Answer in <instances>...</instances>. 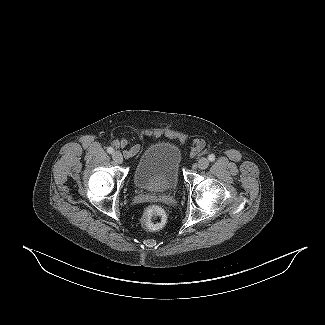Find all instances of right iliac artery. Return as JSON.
Here are the masks:
<instances>
[{"label":"right iliac artery","mask_w":325,"mask_h":325,"mask_svg":"<svg viewBox=\"0 0 325 325\" xmlns=\"http://www.w3.org/2000/svg\"><path fill=\"white\" fill-rule=\"evenodd\" d=\"M107 152L110 153V154H112L114 152V149L112 147H108L107 148Z\"/></svg>","instance_id":"82829eb1"}]
</instances>
